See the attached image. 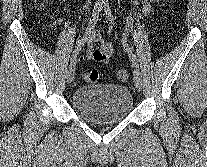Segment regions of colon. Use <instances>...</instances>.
I'll return each instance as SVG.
<instances>
[{
    "label": "colon",
    "mask_w": 207,
    "mask_h": 167,
    "mask_svg": "<svg viewBox=\"0 0 207 167\" xmlns=\"http://www.w3.org/2000/svg\"><path fill=\"white\" fill-rule=\"evenodd\" d=\"M38 3H45L46 0H36ZM117 76L120 80L126 81L129 78V73L127 70H119ZM84 78L90 82H97L99 80V73L97 70H92L85 74Z\"/></svg>",
    "instance_id": "1"
}]
</instances>
